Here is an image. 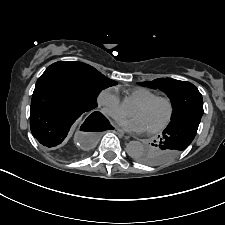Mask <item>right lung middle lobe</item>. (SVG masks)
Returning a JSON list of instances; mask_svg holds the SVG:
<instances>
[{
	"instance_id": "1",
	"label": "right lung middle lobe",
	"mask_w": 225,
	"mask_h": 225,
	"mask_svg": "<svg viewBox=\"0 0 225 225\" xmlns=\"http://www.w3.org/2000/svg\"><path fill=\"white\" fill-rule=\"evenodd\" d=\"M56 77L77 90L90 105L97 106L100 91L117 82L105 77L95 68L81 62L59 61L50 65L41 75Z\"/></svg>"
}]
</instances>
